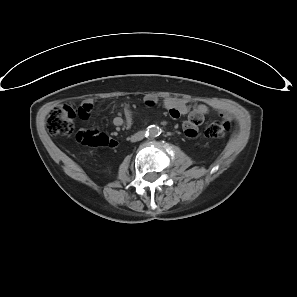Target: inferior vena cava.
I'll list each match as a JSON object with an SVG mask.
<instances>
[{
	"label": "inferior vena cava",
	"mask_w": 297,
	"mask_h": 297,
	"mask_svg": "<svg viewBox=\"0 0 297 297\" xmlns=\"http://www.w3.org/2000/svg\"><path fill=\"white\" fill-rule=\"evenodd\" d=\"M144 136H145V132H143V131H140V132H138V133L135 135V137H136L137 139H143Z\"/></svg>",
	"instance_id": "1"
}]
</instances>
